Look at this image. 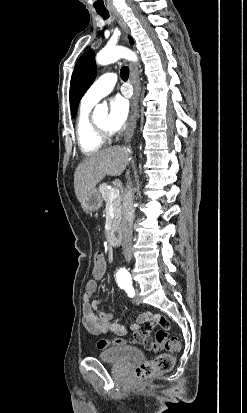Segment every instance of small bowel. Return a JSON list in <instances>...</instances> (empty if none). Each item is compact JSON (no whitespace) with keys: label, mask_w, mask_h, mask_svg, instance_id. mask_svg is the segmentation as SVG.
I'll return each mask as SVG.
<instances>
[{"label":"small bowel","mask_w":247,"mask_h":413,"mask_svg":"<svg viewBox=\"0 0 247 413\" xmlns=\"http://www.w3.org/2000/svg\"><path fill=\"white\" fill-rule=\"evenodd\" d=\"M94 281L86 282L82 298V322L90 335L99 336L107 332H112L116 335L134 333L137 347L139 349H147L152 347L153 324H160L161 330L170 331L172 329V324L166 322L164 315H153L149 311L141 313L137 320L129 326L122 323L123 314L115 318L112 313L101 312V301L92 300V297L97 291V282L102 281V276L95 275Z\"/></svg>","instance_id":"c3829d8e"}]
</instances>
